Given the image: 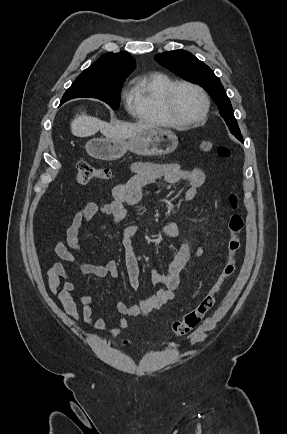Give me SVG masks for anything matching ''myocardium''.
I'll list each match as a JSON object with an SVG mask.
<instances>
[{
  "label": "myocardium",
  "mask_w": 287,
  "mask_h": 434,
  "mask_svg": "<svg viewBox=\"0 0 287 434\" xmlns=\"http://www.w3.org/2000/svg\"><path fill=\"white\" fill-rule=\"evenodd\" d=\"M180 86L190 87L199 93L203 101V110L200 116H198L197 118L186 120L180 118L176 114L174 110V94L177 88H179ZM164 106L168 116L175 122L176 125L186 126V125L199 124L206 119L210 109V101L206 91L200 85L187 80H178L172 82L166 89L164 94Z\"/></svg>",
  "instance_id": "myocardium-1"
}]
</instances>
